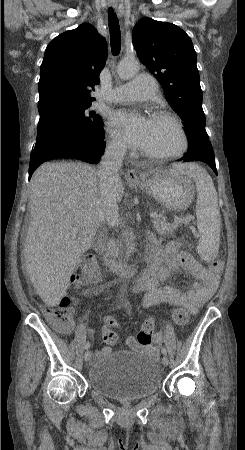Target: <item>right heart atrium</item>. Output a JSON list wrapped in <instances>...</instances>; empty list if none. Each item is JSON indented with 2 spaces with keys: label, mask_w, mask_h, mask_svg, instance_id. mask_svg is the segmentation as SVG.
Masks as SVG:
<instances>
[{
  "label": "right heart atrium",
  "mask_w": 245,
  "mask_h": 450,
  "mask_svg": "<svg viewBox=\"0 0 245 450\" xmlns=\"http://www.w3.org/2000/svg\"><path fill=\"white\" fill-rule=\"evenodd\" d=\"M110 148L116 152H122L124 150V145L119 139L113 137L110 141Z\"/></svg>",
  "instance_id": "obj_1"
}]
</instances>
